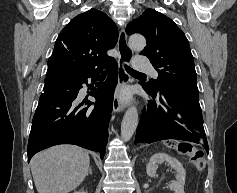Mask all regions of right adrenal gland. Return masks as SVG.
I'll return each mask as SVG.
<instances>
[{"label": "right adrenal gland", "instance_id": "2a0ac1e0", "mask_svg": "<svg viewBox=\"0 0 237 193\" xmlns=\"http://www.w3.org/2000/svg\"><path fill=\"white\" fill-rule=\"evenodd\" d=\"M89 174H92V169L91 168L89 169Z\"/></svg>", "mask_w": 237, "mask_h": 193}]
</instances>
